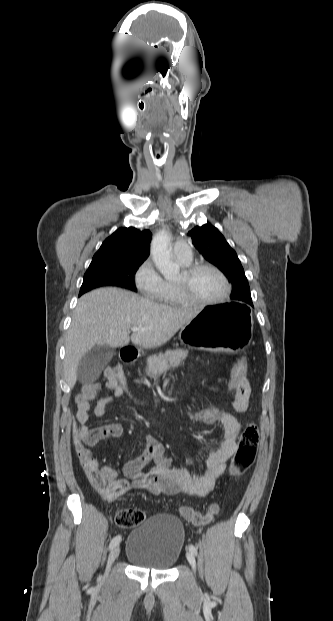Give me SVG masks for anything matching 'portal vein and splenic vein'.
Masks as SVG:
<instances>
[{
	"mask_svg": "<svg viewBox=\"0 0 333 621\" xmlns=\"http://www.w3.org/2000/svg\"><path fill=\"white\" fill-rule=\"evenodd\" d=\"M131 330L133 332H135V331H146L147 328H141V327L133 326V327H131Z\"/></svg>",
	"mask_w": 333,
	"mask_h": 621,
	"instance_id": "1",
	"label": "portal vein and splenic vein"
}]
</instances>
